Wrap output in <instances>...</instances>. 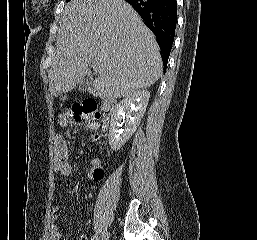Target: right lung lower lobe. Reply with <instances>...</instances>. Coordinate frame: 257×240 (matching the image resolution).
Masks as SVG:
<instances>
[{
    "label": "right lung lower lobe",
    "instance_id": "1",
    "mask_svg": "<svg viewBox=\"0 0 257 240\" xmlns=\"http://www.w3.org/2000/svg\"><path fill=\"white\" fill-rule=\"evenodd\" d=\"M135 8L147 27L154 33L166 69L177 22L176 0H125Z\"/></svg>",
    "mask_w": 257,
    "mask_h": 240
}]
</instances>
